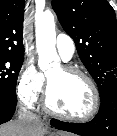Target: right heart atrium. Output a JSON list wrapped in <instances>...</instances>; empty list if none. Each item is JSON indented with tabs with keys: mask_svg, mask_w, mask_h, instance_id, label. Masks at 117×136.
<instances>
[{
	"mask_svg": "<svg viewBox=\"0 0 117 136\" xmlns=\"http://www.w3.org/2000/svg\"><path fill=\"white\" fill-rule=\"evenodd\" d=\"M44 88V75L34 65H24L19 72L16 82V93L19 101L26 107L37 105Z\"/></svg>",
	"mask_w": 117,
	"mask_h": 136,
	"instance_id": "obj_1",
	"label": "right heart atrium"
}]
</instances>
